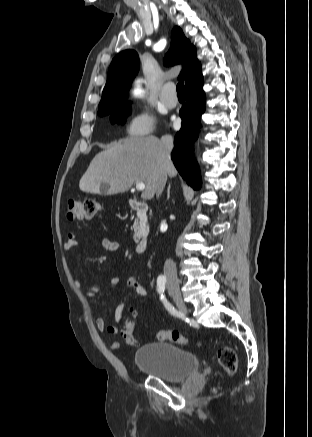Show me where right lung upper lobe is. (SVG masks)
Wrapping results in <instances>:
<instances>
[{"label":"right lung upper lobe","instance_id":"1","mask_svg":"<svg viewBox=\"0 0 312 437\" xmlns=\"http://www.w3.org/2000/svg\"><path fill=\"white\" fill-rule=\"evenodd\" d=\"M166 64L183 63L184 68L179 79L191 81L202 76L201 65L196 58V49L184 36L179 27L172 30L171 49L166 54ZM139 57L134 50H125L112 60L109 67L107 82L99 103V115H106L116 108L129 104L126 102L132 78L138 73Z\"/></svg>","mask_w":312,"mask_h":437}]
</instances>
